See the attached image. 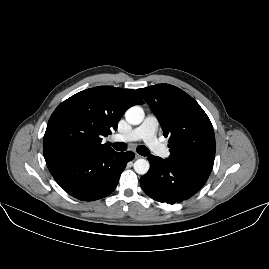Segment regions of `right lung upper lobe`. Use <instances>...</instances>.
I'll return each mask as SVG.
<instances>
[{
    "label": "right lung upper lobe",
    "instance_id": "cb5924a9",
    "mask_svg": "<svg viewBox=\"0 0 269 269\" xmlns=\"http://www.w3.org/2000/svg\"><path fill=\"white\" fill-rule=\"evenodd\" d=\"M132 89L98 86L81 91L62 102L51 115L43 141L46 162L54 158L112 149L102 137L117 130L128 107L143 104Z\"/></svg>",
    "mask_w": 269,
    "mask_h": 269
}]
</instances>
